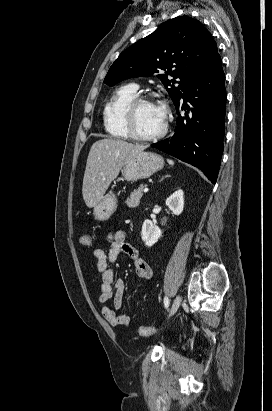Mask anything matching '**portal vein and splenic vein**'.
Masks as SVG:
<instances>
[{
  "label": "portal vein and splenic vein",
  "instance_id": "obj_1",
  "mask_svg": "<svg viewBox=\"0 0 272 411\" xmlns=\"http://www.w3.org/2000/svg\"><path fill=\"white\" fill-rule=\"evenodd\" d=\"M144 192H145V193L148 192V188H147V187L144 188Z\"/></svg>",
  "mask_w": 272,
  "mask_h": 411
}]
</instances>
